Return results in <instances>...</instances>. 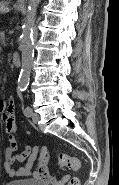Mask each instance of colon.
Here are the masks:
<instances>
[{
  "mask_svg": "<svg viewBox=\"0 0 119 185\" xmlns=\"http://www.w3.org/2000/svg\"><path fill=\"white\" fill-rule=\"evenodd\" d=\"M57 163L60 167H68L74 171L79 170L81 165L78 158L67 154H60L57 158ZM67 185H80V181L77 177L73 176L69 179Z\"/></svg>",
  "mask_w": 119,
  "mask_h": 185,
  "instance_id": "5ec220e1",
  "label": "colon"
}]
</instances>
